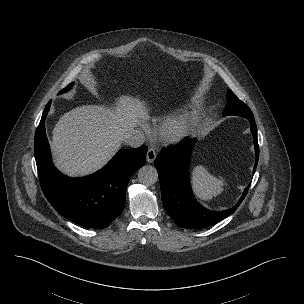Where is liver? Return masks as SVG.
I'll list each match as a JSON object with an SVG mask.
<instances>
[{
  "label": "liver",
  "instance_id": "1",
  "mask_svg": "<svg viewBox=\"0 0 304 304\" xmlns=\"http://www.w3.org/2000/svg\"><path fill=\"white\" fill-rule=\"evenodd\" d=\"M111 106L83 105L62 115L53 129L56 167L72 177L100 169L121 147L128 133L149 118L144 103L121 95Z\"/></svg>",
  "mask_w": 304,
  "mask_h": 304
}]
</instances>
